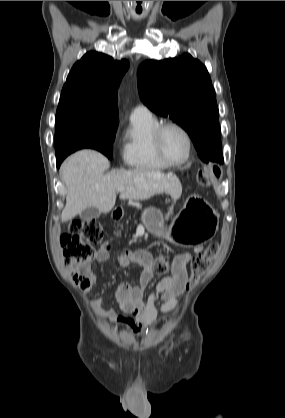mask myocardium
Wrapping results in <instances>:
<instances>
[{
  "mask_svg": "<svg viewBox=\"0 0 285 418\" xmlns=\"http://www.w3.org/2000/svg\"><path fill=\"white\" fill-rule=\"evenodd\" d=\"M168 128L178 129L185 136V139L187 141V154L185 158L180 162L171 161L167 157L163 149L162 135H163V132ZM152 143L160 159L169 166H181V165L186 164L190 160V157L193 151V141H192V137L189 131L184 126L174 121H166V122L160 123L152 135Z\"/></svg>",
  "mask_w": 285,
  "mask_h": 418,
  "instance_id": "obj_1",
  "label": "myocardium"
}]
</instances>
